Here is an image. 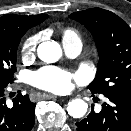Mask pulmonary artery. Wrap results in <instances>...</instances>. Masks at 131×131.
<instances>
[{
  "label": "pulmonary artery",
  "instance_id": "obj_1",
  "mask_svg": "<svg viewBox=\"0 0 131 131\" xmlns=\"http://www.w3.org/2000/svg\"><path fill=\"white\" fill-rule=\"evenodd\" d=\"M63 47L69 56L75 57L81 52L82 42L79 39L64 41Z\"/></svg>",
  "mask_w": 131,
  "mask_h": 131
}]
</instances>
